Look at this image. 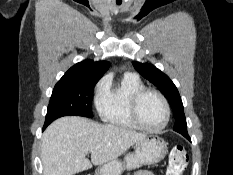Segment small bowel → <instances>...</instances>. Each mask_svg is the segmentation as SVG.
Instances as JSON below:
<instances>
[{
  "instance_id": "1",
  "label": "small bowel",
  "mask_w": 233,
  "mask_h": 175,
  "mask_svg": "<svg viewBox=\"0 0 233 175\" xmlns=\"http://www.w3.org/2000/svg\"><path fill=\"white\" fill-rule=\"evenodd\" d=\"M127 175H156V174L146 170H135Z\"/></svg>"
}]
</instances>
